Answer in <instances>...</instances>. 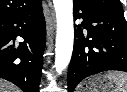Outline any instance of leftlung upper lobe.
<instances>
[{
    "label": "left lung upper lobe",
    "mask_w": 127,
    "mask_h": 92,
    "mask_svg": "<svg viewBox=\"0 0 127 92\" xmlns=\"http://www.w3.org/2000/svg\"><path fill=\"white\" fill-rule=\"evenodd\" d=\"M74 3L93 10L124 15L120 0H74Z\"/></svg>",
    "instance_id": "1"
}]
</instances>
